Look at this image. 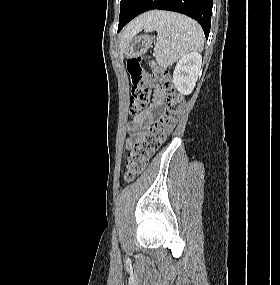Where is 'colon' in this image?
<instances>
[{"label": "colon", "instance_id": "obj_1", "mask_svg": "<svg viewBox=\"0 0 280 285\" xmlns=\"http://www.w3.org/2000/svg\"><path fill=\"white\" fill-rule=\"evenodd\" d=\"M142 63L141 59L133 58L127 64L132 85L130 113L134 114L149 104L155 83H159L165 93L166 109L161 118L135 141L126 160L124 177L127 181H133L143 172L150 156L172 133L185 107L183 96L173 86L170 72L153 62L150 63L151 72H147Z\"/></svg>", "mask_w": 280, "mask_h": 285}]
</instances>
